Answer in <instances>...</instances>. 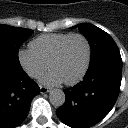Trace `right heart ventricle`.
I'll return each instance as SVG.
<instances>
[{"mask_svg":"<svg viewBox=\"0 0 128 128\" xmlns=\"http://www.w3.org/2000/svg\"><path fill=\"white\" fill-rule=\"evenodd\" d=\"M69 35L70 33L44 34L32 40L30 48L48 64L60 43Z\"/></svg>","mask_w":128,"mask_h":128,"instance_id":"e07e8e85","label":"right heart ventricle"}]
</instances>
